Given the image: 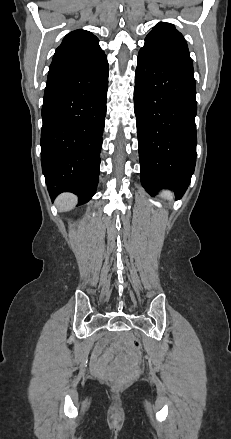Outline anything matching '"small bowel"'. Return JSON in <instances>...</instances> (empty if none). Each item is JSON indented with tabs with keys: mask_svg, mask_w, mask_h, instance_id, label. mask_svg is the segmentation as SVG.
Listing matches in <instances>:
<instances>
[{
	"mask_svg": "<svg viewBox=\"0 0 231 439\" xmlns=\"http://www.w3.org/2000/svg\"><path fill=\"white\" fill-rule=\"evenodd\" d=\"M93 362L98 366L101 367V364L99 363V361L97 360V358L93 359Z\"/></svg>",
	"mask_w": 231,
	"mask_h": 439,
	"instance_id": "1",
	"label": "small bowel"
}]
</instances>
